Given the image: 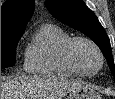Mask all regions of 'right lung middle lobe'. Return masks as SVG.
I'll use <instances>...</instances> for the list:
<instances>
[{
  "label": "right lung middle lobe",
  "mask_w": 115,
  "mask_h": 99,
  "mask_svg": "<svg viewBox=\"0 0 115 99\" xmlns=\"http://www.w3.org/2000/svg\"><path fill=\"white\" fill-rule=\"evenodd\" d=\"M23 34L1 35V68L12 67L15 64V50Z\"/></svg>",
  "instance_id": "right-lung-middle-lobe-1"
}]
</instances>
